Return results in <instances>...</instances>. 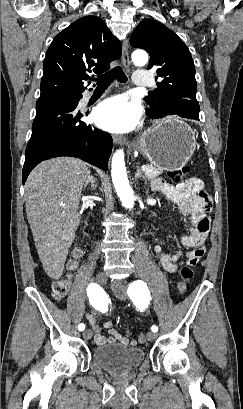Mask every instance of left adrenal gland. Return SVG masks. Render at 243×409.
<instances>
[{
  "mask_svg": "<svg viewBox=\"0 0 243 409\" xmlns=\"http://www.w3.org/2000/svg\"><path fill=\"white\" fill-rule=\"evenodd\" d=\"M139 178H142L145 181L144 183L147 184L145 176L142 174L140 167L137 166V172L135 173V180L137 181Z\"/></svg>",
  "mask_w": 243,
  "mask_h": 409,
  "instance_id": "left-adrenal-gland-1",
  "label": "left adrenal gland"
}]
</instances>
